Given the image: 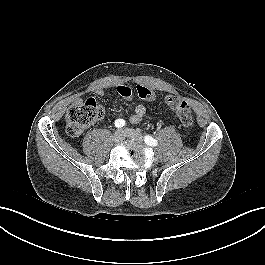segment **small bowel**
<instances>
[{
  "mask_svg": "<svg viewBox=\"0 0 265 265\" xmlns=\"http://www.w3.org/2000/svg\"><path fill=\"white\" fill-rule=\"evenodd\" d=\"M117 91L126 100H131L132 99V91H131V89L129 87H127V86H118L117 87ZM96 93L98 95H103L104 94L103 90H101V89H98L96 91ZM145 115H146V107L144 105H142V104H139V105L136 106L134 114H132L130 116V121L132 123H134V124H137L143 119V117Z\"/></svg>",
  "mask_w": 265,
  "mask_h": 265,
  "instance_id": "obj_1",
  "label": "small bowel"
}]
</instances>
